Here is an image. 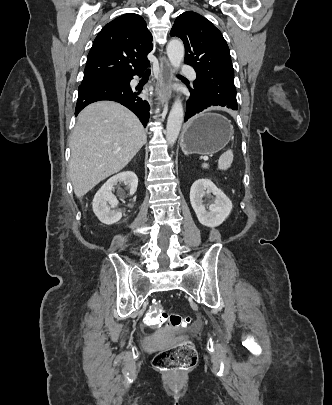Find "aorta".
<instances>
[{
  "label": "aorta",
  "mask_w": 332,
  "mask_h": 405,
  "mask_svg": "<svg viewBox=\"0 0 332 405\" xmlns=\"http://www.w3.org/2000/svg\"><path fill=\"white\" fill-rule=\"evenodd\" d=\"M167 55L174 69H178L184 59V45L182 41L177 39L169 41L167 45ZM183 120V105L178 98L173 103L167 119L166 139L171 146L174 145L178 138Z\"/></svg>",
  "instance_id": "762f6f07"
}]
</instances>
